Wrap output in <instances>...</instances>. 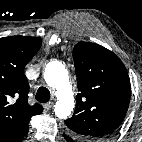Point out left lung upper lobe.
<instances>
[{
  "instance_id": "obj_1",
  "label": "left lung upper lobe",
  "mask_w": 142,
  "mask_h": 142,
  "mask_svg": "<svg viewBox=\"0 0 142 142\" xmlns=\"http://www.w3.org/2000/svg\"><path fill=\"white\" fill-rule=\"evenodd\" d=\"M78 94L74 115L65 120L76 141L106 142L122 123L130 102L125 66L110 50L91 42L73 49Z\"/></svg>"
}]
</instances>
